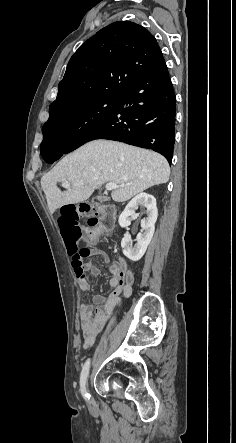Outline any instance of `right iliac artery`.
Returning a JSON list of instances; mask_svg holds the SVG:
<instances>
[{
    "label": "right iliac artery",
    "mask_w": 236,
    "mask_h": 443,
    "mask_svg": "<svg viewBox=\"0 0 236 443\" xmlns=\"http://www.w3.org/2000/svg\"><path fill=\"white\" fill-rule=\"evenodd\" d=\"M89 368H90V359H88L86 361L85 365L83 366L81 376H80L81 393H82V396L84 397L85 400H89V398H90V394L86 390V383H87Z\"/></svg>",
    "instance_id": "82829eb1"
}]
</instances>
